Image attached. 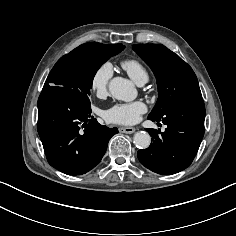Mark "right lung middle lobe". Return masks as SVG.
Listing matches in <instances>:
<instances>
[{
    "label": "right lung middle lobe",
    "instance_id": "1",
    "mask_svg": "<svg viewBox=\"0 0 236 236\" xmlns=\"http://www.w3.org/2000/svg\"><path fill=\"white\" fill-rule=\"evenodd\" d=\"M123 49L97 42L82 44L57 61L43 89L53 86L68 89L75 97L90 106V89L97 70L111 56Z\"/></svg>",
    "mask_w": 236,
    "mask_h": 236
}]
</instances>
